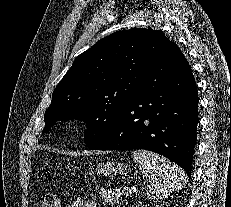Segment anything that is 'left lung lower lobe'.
<instances>
[{
    "mask_svg": "<svg viewBox=\"0 0 231 207\" xmlns=\"http://www.w3.org/2000/svg\"><path fill=\"white\" fill-rule=\"evenodd\" d=\"M143 85L109 134L91 148L150 150L175 162L191 178L198 93L190 65L175 43L146 73Z\"/></svg>",
    "mask_w": 231,
    "mask_h": 207,
    "instance_id": "left-lung-lower-lobe-1",
    "label": "left lung lower lobe"
}]
</instances>
